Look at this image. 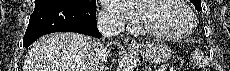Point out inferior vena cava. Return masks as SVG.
I'll return each mask as SVG.
<instances>
[{
	"mask_svg": "<svg viewBox=\"0 0 230 71\" xmlns=\"http://www.w3.org/2000/svg\"><path fill=\"white\" fill-rule=\"evenodd\" d=\"M97 26L101 33L114 37L124 31V23L106 13H99ZM108 49L100 40H93L91 50L85 65V71H103L107 62Z\"/></svg>",
	"mask_w": 230,
	"mask_h": 71,
	"instance_id": "602c4592",
	"label": "inferior vena cava"
}]
</instances>
